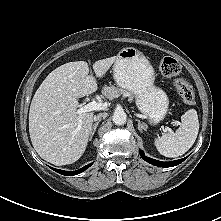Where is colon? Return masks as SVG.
Instances as JSON below:
<instances>
[{
    "label": "colon",
    "mask_w": 221,
    "mask_h": 221,
    "mask_svg": "<svg viewBox=\"0 0 221 221\" xmlns=\"http://www.w3.org/2000/svg\"><path fill=\"white\" fill-rule=\"evenodd\" d=\"M160 73L169 78H174V86L182 101L187 105L195 103V92L192 86L184 79L179 77L181 65L173 57H164L159 63Z\"/></svg>",
    "instance_id": "colon-1"
}]
</instances>
